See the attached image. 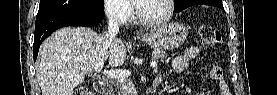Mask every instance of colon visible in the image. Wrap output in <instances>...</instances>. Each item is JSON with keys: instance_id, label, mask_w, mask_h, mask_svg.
Segmentation results:
<instances>
[{"instance_id": "5ec220e1", "label": "colon", "mask_w": 277, "mask_h": 95, "mask_svg": "<svg viewBox=\"0 0 277 95\" xmlns=\"http://www.w3.org/2000/svg\"><path fill=\"white\" fill-rule=\"evenodd\" d=\"M200 45L204 48H214L222 43V36L212 26H201L199 28ZM75 95L92 94L87 88L79 86L74 91Z\"/></svg>"}]
</instances>
